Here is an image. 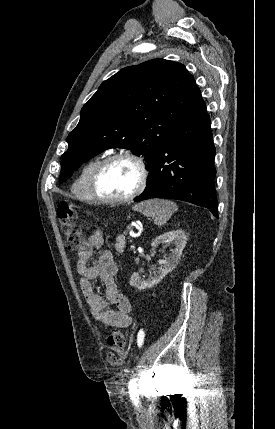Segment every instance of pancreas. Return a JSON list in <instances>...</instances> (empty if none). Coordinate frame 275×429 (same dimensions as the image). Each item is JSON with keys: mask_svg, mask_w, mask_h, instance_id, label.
Returning <instances> with one entry per match:
<instances>
[{"mask_svg": "<svg viewBox=\"0 0 275 429\" xmlns=\"http://www.w3.org/2000/svg\"><path fill=\"white\" fill-rule=\"evenodd\" d=\"M126 235H127V232H124L123 234L119 235L116 238L115 248H116V251H118L119 253H123L124 251L125 244H126V239H125Z\"/></svg>", "mask_w": 275, "mask_h": 429, "instance_id": "cf45deb5", "label": "pancreas"}]
</instances>
